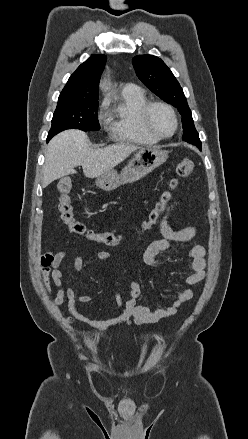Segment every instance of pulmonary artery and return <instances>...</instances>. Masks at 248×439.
<instances>
[{"label":"pulmonary artery","mask_w":248,"mask_h":439,"mask_svg":"<svg viewBox=\"0 0 248 439\" xmlns=\"http://www.w3.org/2000/svg\"><path fill=\"white\" fill-rule=\"evenodd\" d=\"M136 88L137 87L134 84L126 83V84L123 85L122 91H124V92H131V91L135 90Z\"/></svg>","instance_id":"pulmonary-artery-1"}]
</instances>
